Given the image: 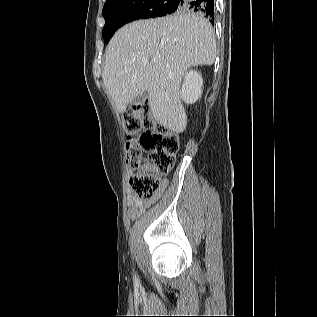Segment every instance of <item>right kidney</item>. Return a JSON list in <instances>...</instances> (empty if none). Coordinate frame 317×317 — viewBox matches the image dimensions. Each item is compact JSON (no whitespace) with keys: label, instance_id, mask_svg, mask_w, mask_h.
<instances>
[{"label":"right kidney","instance_id":"obj_1","mask_svg":"<svg viewBox=\"0 0 317 317\" xmlns=\"http://www.w3.org/2000/svg\"><path fill=\"white\" fill-rule=\"evenodd\" d=\"M203 79L197 71H189L185 74L181 97L186 103L196 102L202 95Z\"/></svg>","mask_w":317,"mask_h":317}]
</instances>
